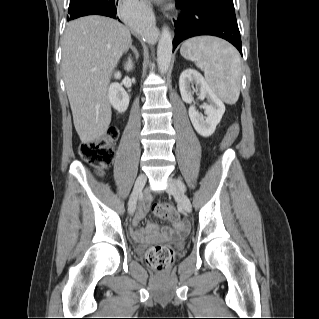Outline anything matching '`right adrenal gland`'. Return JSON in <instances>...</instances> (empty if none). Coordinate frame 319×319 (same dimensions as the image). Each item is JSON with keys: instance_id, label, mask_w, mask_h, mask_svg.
Segmentation results:
<instances>
[{"instance_id": "1", "label": "right adrenal gland", "mask_w": 319, "mask_h": 319, "mask_svg": "<svg viewBox=\"0 0 319 319\" xmlns=\"http://www.w3.org/2000/svg\"><path fill=\"white\" fill-rule=\"evenodd\" d=\"M129 48L132 50V52L135 54L136 60L139 58V54L137 52V49L130 43Z\"/></svg>"}]
</instances>
